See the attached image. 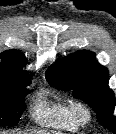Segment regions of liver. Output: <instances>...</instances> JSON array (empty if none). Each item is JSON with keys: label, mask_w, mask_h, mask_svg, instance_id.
Listing matches in <instances>:
<instances>
[{"label": "liver", "mask_w": 116, "mask_h": 134, "mask_svg": "<svg viewBox=\"0 0 116 134\" xmlns=\"http://www.w3.org/2000/svg\"><path fill=\"white\" fill-rule=\"evenodd\" d=\"M28 134H43V133L33 131V132L28 133Z\"/></svg>", "instance_id": "liver-1"}]
</instances>
